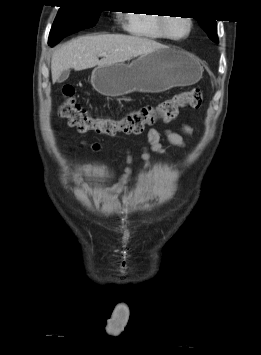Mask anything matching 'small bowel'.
Here are the masks:
<instances>
[{"label": "small bowel", "instance_id": "c3829d8e", "mask_svg": "<svg viewBox=\"0 0 261 355\" xmlns=\"http://www.w3.org/2000/svg\"><path fill=\"white\" fill-rule=\"evenodd\" d=\"M192 134V128L187 124H182L179 131L170 128L164 129L162 132L150 128L147 131V145L143 147L141 158L144 161L145 169H150V158L151 153L161 154L163 153V146L161 139L164 136L169 143L174 146L184 148L186 147L185 136H190ZM82 145L89 146L93 151H98L100 149L99 143L88 144L87 142H82ZM126 167L124 172L120 175L118 183L107 188L102 196L109 194H121L128 190L126 183L128 182L132 172H133V156L130 150L126 149ZM87 170H91L90 166L86 167ZM71 179L78 185H83L82 180L79 176L73 175Z\"/></svg>", "mask_w": 261, "mask_h": 355}]
</instances>
